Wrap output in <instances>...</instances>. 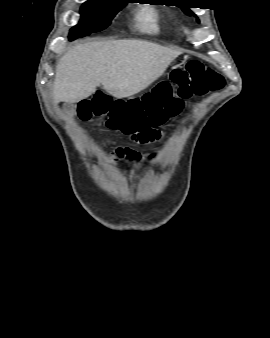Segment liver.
I'll return each mask as SVG.
<instances>
[{"label": "liver", "mask_w": 270, "mask_h": 338, "mask_svg": "<svg viewBox=\"0 0 270 338\" xmlns=\"http://www.w3.org/2000/svg\"><path fill=\"white\" fill-rule=\"evenodd\" d=\"M180 54V51L135 39L74 46L57 65L54 101L79 102L100 85L116 98L130 97L157 80Z\"/></svg>", "instance_id": "1"}]
</instances>
